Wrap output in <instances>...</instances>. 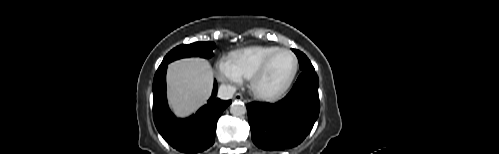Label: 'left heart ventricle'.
<instances>
[{
    "label": "left heart ventricle",
    "mask_w": 499,
    "mask_h": 154,
    "mask_svg": "<svg viewBox=\"0 0 499 154\" xmlns=\"http://www.w3.org/2000/svg\"><path fill=\"white\" fill-rule=\"evenodd\" d=\"M292 67L293 60L289 54L281 53L277 55L259 82V88L264 92L276 90L286 80Z\"/></svg>",
    "instance_id": "left-heart-ventricle-1"
}]
</instances>
